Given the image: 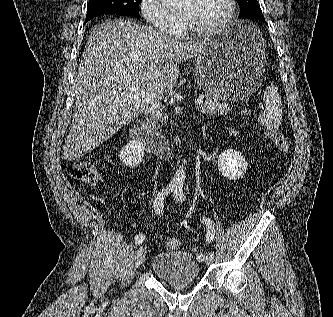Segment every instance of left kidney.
<instances>
[{
	"label": "left kidney",
	"mask_w": 333,
	"mask_h": 317,
	"mask_svg": "<svg viewBox=\"0 0 333 317\" xmlns=\"http://www.w3.org/2000/svg\"><path fill=\"white\" fill-rule=\"evenodd\" d=\"M218 168L224 177L237 180L243 177L248 168V163L239 151L228 149L219 155Z\"/></svg>",
	"instance_id": "left-kidney-1"
}]
</instances>
